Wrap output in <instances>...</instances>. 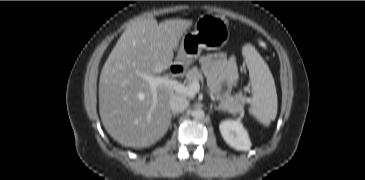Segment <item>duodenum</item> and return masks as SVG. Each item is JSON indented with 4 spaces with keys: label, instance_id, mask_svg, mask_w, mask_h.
Segmentation results:
<instances>
[{
    "label": "duodenum",
    "instance_id": "duodenum-1",
    "mask_svg": "<svg viewBox=\"0 0 365 180\" xmlns=\"http://www.w3.org/2000/svg\"><path fill=\"white\" fill-rule=\"evenodd\" d=\"M170 72L175 76V77H183L186 70L183 66L180 65H173L170 67Z\"/></svg>",
    "mask_w": 365,
    "mask_h": 180
}]
</instances>
